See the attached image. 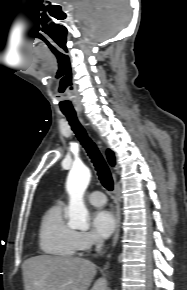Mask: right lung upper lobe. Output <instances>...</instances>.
Listing matches in <instances>:
<instances>
[{
    "instance_id": "obj_1",
    "label": "right lung upper lobe",
    "mask_w": 187,
    "mask_h": 290,
    "mask_svg": "<svg viewBox=\"0 0 187 290\" xmlns=\"http://www.w3.org/2000/svg\"><path fill=\"white\" fill-rule=\"evenodd\" d=\"M107 158L109 163L114 166L115 164V157H114V153L111 150H107Z\"/></svg>"
}]
</instances>
